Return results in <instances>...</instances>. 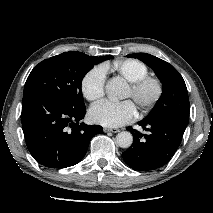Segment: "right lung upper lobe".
<instances>
[{
  "instance_id": "right-lung-upper-lobe-1",
  "label": "right lung upper lobe",
  "mask_w": 213,
  "mask_h": 213,
  "mask_svg": "<svg viewBox=\"0 0 213 213\" xmlns=\"http://www.w3.org/2000/svg\"><path fill=\"white\" fill-rule=\"evenodd\" d=\"M112 56H101V57H92L96 60H99L100 62L101 61H104V60H107V59H110Z\"/></svg>"
}]
</instances>
